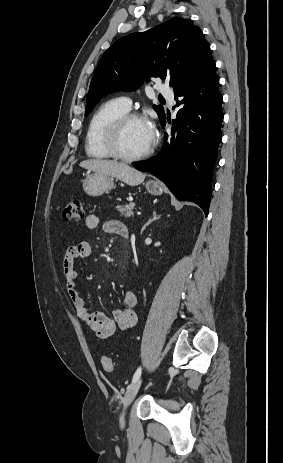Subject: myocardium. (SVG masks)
Returning <instances> with one entry per match:
<instances>
[{
    "instance_id": "myocardium-1",
    "label": "myocardium",
    "mask_w": 283,
    "mask_h": 463,
    "mask_svg": "<svg viewBox=\"0 0 283 463\" xmlns=\"http://www.w3.org/2000/svg\"><path fill=\"white\" fill-rule=\"evenodd\" d=\"M133 120L144 121L150 125L149 120L141 113L128 111L127 113H124L113 120L107 127L104 134V146L111 157L124 162H135L143 160L153 153L156 145V133L153 128L152 142L145 151L136 155H126L119 149L118 142L120 134L123 128Z\"/></svg>"
}]
</instances>
